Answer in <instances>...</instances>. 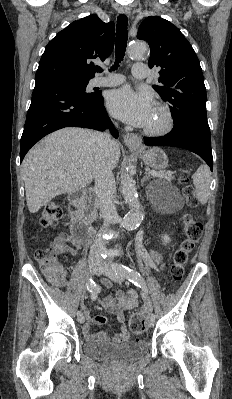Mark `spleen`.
Segmentation results:
<instances>
[{"label":"spleen","instance_id":"spleen-1","mask_svg":"<svg viewBox=\"0 0 232 399\" xmlns=\"http://www.w3.org/2000/svg\"><path fill=\"white\" fill-rule=\"evenodd\" d=\"M192 178L197 200L201 201V203H207L211 184L210 168L208 166H200Z\"/></svg>","mask_w":232,"mask_h":399}]
</instances>
